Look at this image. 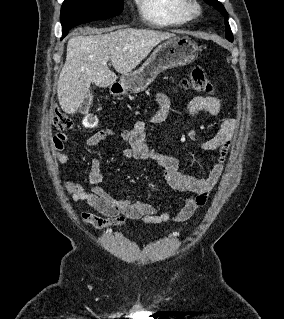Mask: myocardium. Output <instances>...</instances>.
I'll return each instance as SVG.
<instances>
[{
	"instance_id": "1",
	"label": "myocardium",
	"mask_w": 284,
	"mask_h": 319,
	"mask_svg": "<svg viewBox=\"0 0 284 319\" xmlns=\"http://www.w3.org/2000/svg\"><path fill=\"white\" fill-rule=\"evenodd\" d=\"M182 8L190 19L197 18L202 13V6L198 0H183Z\"/></svg>"
}]
</instances>
